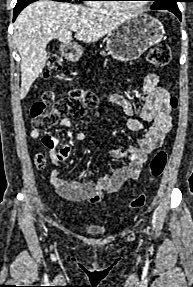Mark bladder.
Returning <instances> with one entry per match:
<instances>
[{"label": "bladder", "mask_w": 193, "mask_h": 287, "mask_svg": "<svg viewBox=\"0 0 193 287\" xmlns=\"http://www.w3.org/2000/svg\"><path fill=\"white\" fill-rule=\"evenodd\" d=\"M83 231L91 237H101L104 234V228L92 220H87L83 224Z\"/></svg>", "instance_id": "obj_1"}]
</instances>
